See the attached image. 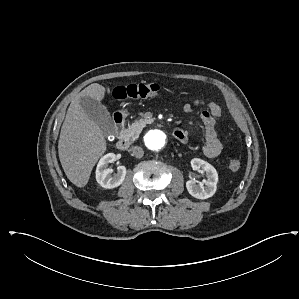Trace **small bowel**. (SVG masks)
<instances>
[{"instance_id": "small-bowel-1", "label": "small bowel", "mask_w": 299, "mask_h": 299, "mask_svg": "<svg viewBox=\"0 0 299 299\" xmlns=\"http://www.w3.org/2000/svg\"><path fill=\"white\" fill-rule=\"evenodd\" d=\"M199 106L205 107V110H203L201 113L205 130V144L203 147V152L207 157L214 158L217 157L223 149L222 142L218 138L216 131V120L222 116V109L216 101H203L195 99L187 102L184 105L183 110L187 114H192ZM177 130L182 131L186 136L185 140L180 141L186 142L188 138L186 131L180 128Z\"/></svg>"}]
</instances>
